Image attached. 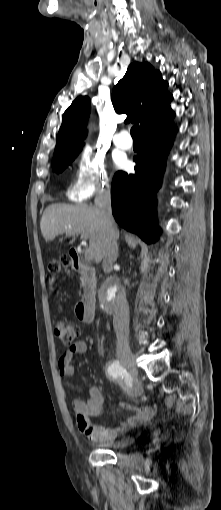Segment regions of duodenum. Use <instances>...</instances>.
Instances as JSON below:
<instances>
[{
    "mask_svg": "<svg viewBox=\"0 0 221 510\" xmlns=\"http://www.w3.org/2000/svg\"><path fill=\"white\" fill-rule=\"evenodd\" d=\"M70 254L72 268L78 271L84 280L83 296L76 306V314L84 323H91L95 317L96 271L81 261L76 250H71Z\"/></svg>",
    "mask_w": 221,
    "mask_h": 510,
    "instance_id": "obj_1",
    "label": "duodenum"
}]
</instances>
